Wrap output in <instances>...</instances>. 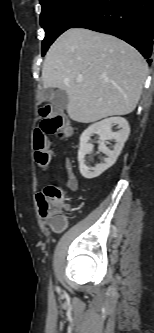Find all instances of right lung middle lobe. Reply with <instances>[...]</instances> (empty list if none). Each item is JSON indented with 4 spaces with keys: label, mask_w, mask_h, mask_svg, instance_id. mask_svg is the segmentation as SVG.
Returning a JSON list of instances; mask_svg holds the SVG:
<instances>
[{
    "label": "right lung middle lobe",
    "mask_w": 154,
    "mask_h": 333,
    "mask_svg": "<svg viewBox=\"0 0 154 333\" xmlns=\"http://www.w3.org/2000/svg\"><path fill=\"white\" fill-rule=\"evenodd\" d=\"M99 0H40V24L45 30L42 56L54 40L88 14Z\"/></svg>",
    "instance_id": "dd1d6c3e"
}]
</instances>
